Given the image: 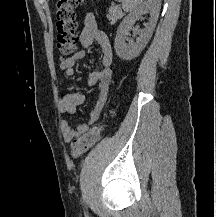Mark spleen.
Wrapping results in <instances>:
<instances>
[{
	"label": "spleen",
	"instance_id": "obj_1",
	"mask_svg": "<svg viewBox=\"0 0 216 217\" xmlns=\"http://www.w3.org/2000/svg\"><path fill=\"white\" fill-rule=\"evenodd\" d=\"M124 11L129 12L136 9L143 0H121Z\"/></svg>",
	"mask_w": 216,
	"mask_h": 217
}]
</instances>
